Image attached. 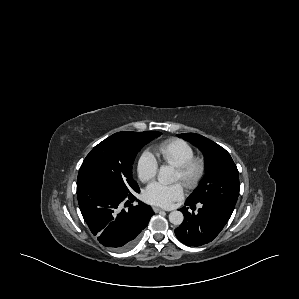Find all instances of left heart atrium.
I'll list each match as a JSON object with an SVG mask.
<instances>
[{"mask_svg": "<svg viewBox=\"0 0 299 299\" xmlns=\"http://www.w3.org/2000/svg\"><path fill=\"white\" fill-rule=\"evenodd\" d=\"M183 193V186L180 183L167 185L153 182L146 188L144 198L151 204L169 207L175 201L181 199Z\"/></svg>", "mask_w": 299, "mask_h": 299, "instance_id": "obj_1", "label": "left heart atrium"}]
</instances>
